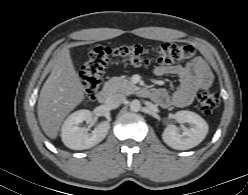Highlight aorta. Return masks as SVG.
<instances>
[{
	"mask_svg": "<svg viewBox=\"0 0 248 195\" xmlns=\"http://www.w3.org/2000/svg\"><path fill=\"white\" fill-rule=\"evenodd\" d=\"M141 109V103L139 100L134 99L130 102V110L133 112H138Z\"/></svg>",
	"mask_w": 248,
	"mask_h": 195,
	"instance_id": "1",
	"label": "aorta"
}]
</instances>
